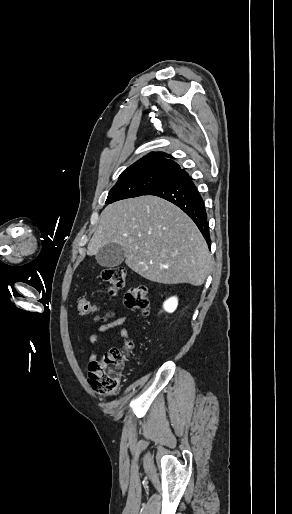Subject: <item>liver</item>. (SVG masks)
Returning a JSON list of instances; mask_svg holds the SVG:
<instances>
[{"label":"liver","mask_w":292,"mask_h":514,"mask_svg":"<svg viewBox=\"0 0 292 514\" xmlns=\"http://www.w3.org/2000/svg\"><path fill=\"white\" fill-rule=\"evenodd\" d=\"M112 242L122 246L128 268L151 282L202 286L212 270L211 254L197 226L180 208L157 196L106 206L87 256H96Z\"/></svg>","instance_id":"6515ba94"}]
</instances>
